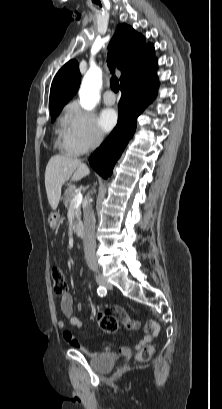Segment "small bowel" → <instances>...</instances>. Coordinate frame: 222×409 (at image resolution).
<instances>
[{
  "instance_id": "c3829d8e",
  "label": "small bowel",
  "mask_w": 222,
  "mask_h": 409,
  "mask_svg": "<svg viewBox=\"0 0 222 409\" xmlns=\"http://www.w3.org/2000/svg\"><path fill=\"white\" fill-rule=\"evenodd\" d=\"M77 308L81 310L82 306L78 305ZM60 309L64 317L68 320L70 326H72L73 328H80L82 326L80 319L74 316L73 314L74 312L73 298L70 293L67 292L61 296ZM111 319L114 320L117 323V325H118V321H122L125 327L128 329H137L139 327V324L137 322H132L129 320L127 314L121 308H116L114 310L113 314L111 315ZM57 326L59 329L64 331L63 338L69 346L76 348V349H80L82 352L90 356H96L98 354V352L93 351L92 349L88 347H83L80 344L78 338L72 332L65 330L66 324L63 320H58ZM146 328L150 331V333H147L142 339H140L135 344V349L137 350L142 348L146 344L150 343L158 335L160 331V325L157 322L147 323ZM118 352L121 355L127 356L131 353V349L129 347L122 346L119 348Z\"/></svg>"
}]
</instances>
